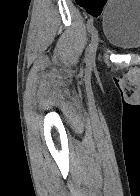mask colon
Listing matches in <instances>:
<instances>
[{
    "label": "colon",
    "mask_w": 140,
    "mask_h": 196,
    "mask_svg": "<svg viewBox=\"0 0 140 196\" xmlns=\"http://www.w3.org/2000/svg\"><path fill=\"white\" fill-rule=\"evenodd\" d=\"M76 1L79 2V3L83 2L82 0H76Z\"/></svg>",
    "instance_id": "colon-1"
}]
</instances>
